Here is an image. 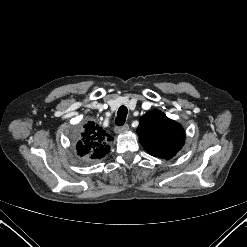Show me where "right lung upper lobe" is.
Masks as SVG:
<instances>
[{
    "label": "right lung upper lobe",
    "instance_id": "cb5924a9",
    "mask_svg": "<svg viewBox=\"0 0 247 247\" xmlns=\"http://www.w3.org/2000/svg\"><path fill=\"white\" fill-rule=\"evenodd\" d=\"M113 138L98 123L90 120L83 126L81 138L76 143L77 155L84 160H98L109 152L107 142Z\"/></svg>",
    "mask_w": 247,
    "mask_h": 247
}]
</instances>
